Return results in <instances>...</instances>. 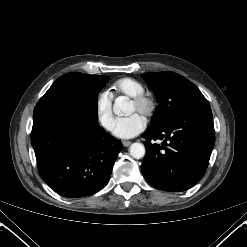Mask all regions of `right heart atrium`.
<instances>
[{"instance_id": "right-heart-atrium-1", "label": "right heart atrium", "mask_w": 247, "mask_h": 247, "mask_svg": "<svg viewBox=\"0 0 247 247\" xmlns=\"http://www.w3.org/2000/svg\"><path fill=\"white\" fill-rule=\"evenodd\" d=\"M112 96L107 91H102L98 94L95 103V112L100 126L110 131L113 128L114 117L112 110Z\"/></svg>"}]
</instances>
